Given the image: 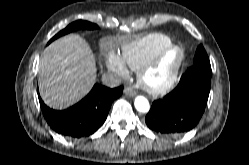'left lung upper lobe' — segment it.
Returning a JSON list of instances; mask_svg holds the SVG:
<instances>
[{
    "label": "left lung upper lobe",
    "instance_id": "left-lung-upper-lobe-1",
    "mask_svg": "<svg viewBox=\"0 0 249 165\" xmlns=\"http://www.w3.org/2000/svg\"><path fill=\"white\" fill-rule=\"evenodd\" d=\"M194 66L211 68L208 55L202 45H199L196 50L195 57H194Z\"/></svg>",
    "mask_w": 249,
    "mask_h": 165
}]
</instances>
